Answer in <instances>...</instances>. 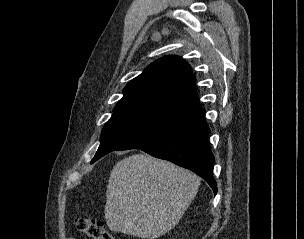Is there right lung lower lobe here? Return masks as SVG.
I'll use <instances>...</instances> for the list:
<instances>
[{
    "label": "right lung lower lobe",
    "mask_w": 304,
    "mask_h": 239,
    "mask_svg": "<svg viewBox=\"0 0 304 239\" xmlns=\"http://www.w3.org/2000/svg\"><path fill=\"white\" fill-rule=\"evenodd\" d=\"M209 133L205 110L199 108L163 123L116 150L140 149L187 168L205 179L216 195L215 158L208 143Z\"/></svg>",
    "instance_id": "98d812e1"
}]
</instances>
